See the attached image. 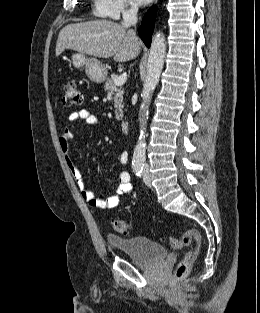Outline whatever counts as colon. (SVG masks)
<instances>
[{
	"label": "colon",
	"instance_id": "5ec220e1",
	"mask_svg": "<svg viewBox=\"0 0 260 313\" xmlns=\"http://www.w3.org/2000/svg\"><path fill=\"white\" fill-rule=\"evenodd\" d=\"M82 102V95L75 82H67L64 85L63 104L65 106L79 105ZM111 224L113 229L125 236L132 234V226L124 220L112 219ZM195 241V246L186 252L184 257L178 263L173 282H178L185 278L192 269V266L198 258L202 246V236L196 229H187L179 237H170L169 244L174 249L187 247L192 241Z\"/></svg>",
	"mask_w": 260,
	"mask_h": 313
}]
</instances>
